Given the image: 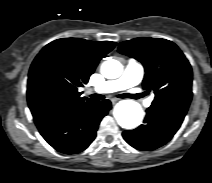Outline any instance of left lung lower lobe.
<instances>
[{
  "mask_svg": "<svg viewBox=\"0 0 212 183\" xmlns=\"http://www.w3.org/2000/svg\"><path fill=\"white\" fill-rule=\"evenodd\" d=\"M146 113L144 124L122 133L128 144L143 151L153 150L167 143L186 115V111L156 105H151Z\"/></svg>",
  "mask_w": 212,
  "mask_h": 183,
  "instance_id": "obj_1",
  "label": "left lung lower lobe"
}]
</instances>
